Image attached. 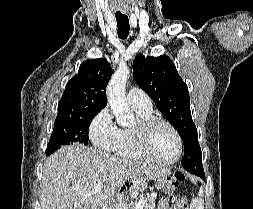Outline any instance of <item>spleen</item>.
<instances>
[{
	"label": "spleen",
	"instance_id": "3e777b00",
	"mask_svg": "<svg viewBox=\"0 0 253 209\" xmlns=\"http://www.w3.org/2000/svg\"><path fill=\"white\" fill-rule=\"evenodd\" d=\"M203 192V187H201L198 193V197L191 201L190 209H204V201L202 199Z\"/></svg>",
	"mask_w": 253,
	"mask_h": 209
}]
</instances>
